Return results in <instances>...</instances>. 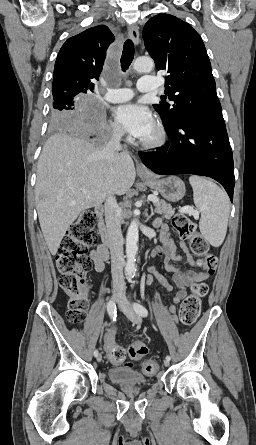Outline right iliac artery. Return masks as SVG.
I'll return each instance as SVG.
<instances>
[{
  "instance_id": "obj_1",
  "label": "right iliac artery",
  "mask_w": 256,
  "mask_h": 445,
  "mask_svg": "<svg viewBox=\"0 0 256 445\" xmlns=\"http://www.w3.org/2000/svg\"><path fill=\"white\" fill-rule=\"evenodd\" d=\"M107 311H108L109 316L111 317V319L113 321H116V313H117L116 305L112 301H109V303L107 305ZM98 355H99L98 350H95L94 351V356L97 357Z\"/></svg>"
}]
</instances>
